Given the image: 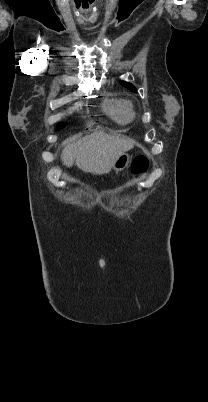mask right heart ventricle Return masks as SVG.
Wrapping results in <instances>:
<instances>
[{
	"mask_svg": "<svg viewBox=\"0 0 208 402\" xmlns=\"http://www.w3.org/2000/svg\"><path fill=\"white\" fill-rule=\"evenodd\" d=\"M104 112L117 124L128 125L134 120V113L127 103L119 98H107L103 103Z\"/></svg>",
	"mask_w": 208,
	"mask_h": 402,
	"instance_id": "obj_1",
	"label": "right heart ventricle"
}]
</instances>
